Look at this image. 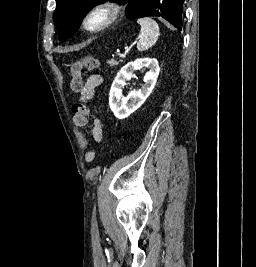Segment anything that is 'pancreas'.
Segmentation results:
<instances>
[{
	"label": "pancreas",
	"instance_id": "obj_1",
	"mask_svg": "<svg viewBox=\"0 0 256 267\" xmlns=\"http://www.w3.org/2000/svg\"><path fill=\"white\" fill-rule=\"evenodd\" d=\"M109 66H118L119 62H115V60H110V62H108Z\"/></svg>",
	"mask_w": 256,
	"mask_h": 267
}]
</instances>
